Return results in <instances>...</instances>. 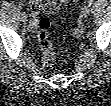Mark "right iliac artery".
I'll use <instances>...</instances> for the list:
<instances>
[{
  "label": "right iliac artery",
  "instance_id": "1",
  "mask_svg": "<svg viewBox=\"0 0 111 106\" xmlns=\"http://www.w3.org/2000/svg\"><path fill=\"white\" fill-rule=\"evenodd\" d=\"M21 16L27 17V13L25 10L21 8Z\"/></svg>",
  "mask_w": 111,
  "mask_h": 106
}]
</instances>
